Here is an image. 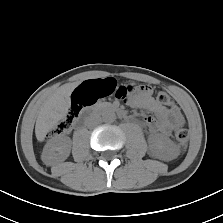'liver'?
<instances>
[{"instance_id":"1","label":"liver","mask_w":223,"mask_h":223,"mask_svg":"<svg viewBox=\"0 0 223 223\" xmlns=\"http://www.w3.org/2000/svg\"><path fill=\"white\" fill-rule=\"evenodd\" d=\"M77 85L78 83L62 85L43 103L35 125L38 141H44L47 133L66 117L71 105L70 95Z\"/></svg>"}]
</instances>
